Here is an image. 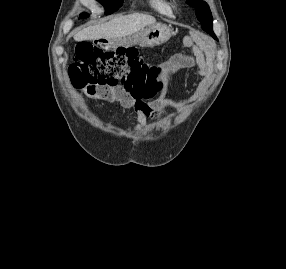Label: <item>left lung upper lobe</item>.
I'll use <instances>...</instances> for the list:
<instances>
[{
    "label": "left lung upper lobe",
    "mask_w": 286,
    "mask_h": 269,
    "mask_svg": "<svg viewBox=\"0 0 286 269\" xmlns=\"http://www.w3.org/2000/svg\"><path fill=\"white\" fill-rule=\"evenodd\" d=\"M187 2L194 8H196V16L202 23V28L209 35L216 39L213 32V19L208 4L202 0H187Z\"/></svg>",
    "instance_id": "1"
}]
</instances>
